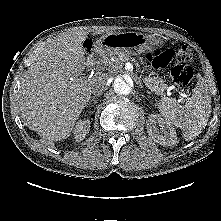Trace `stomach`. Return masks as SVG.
I'll return each mask as SVG.
<instances>
[{"mask_svg":"<svg viewBox=\"0 0 221 221\" xmlns=\"http://www.w3.org/2000/svg\"><path fill=\"white\" fill-rule=\"evenodd\" d=\"M159 46V40L154 35H144L138 32L109 33L100 37L96 49L103 55L126 53L138 55L152 51Z\"/></svg>","mask_w":221,"mask_h":221,"instance_id":"0dacf381","label":"stomach"}]
</instances>
